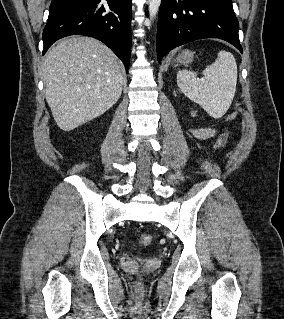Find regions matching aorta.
Returning a JSON list of instances; mask_svg holds the SVG:
<instances>
[{
  "label": "aorta",
  "instance_id": "aorta-1",
  "mask_svg": "<svg viewBox=\"0 0 284 319\" xmlns=\"http://www.w3.org/2000/svg\"><path fill=\"white\" fill-rule=\"evenodd\" d=\"M160 5L161 0H149V15L151 20H153L156 17Z\"/></svg>",
  "mask_w": 284,
  "mask_h": 319
}]
</instances>
